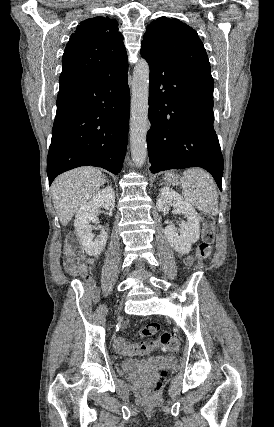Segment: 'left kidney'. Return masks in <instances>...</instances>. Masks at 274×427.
Here are the masks:
<instances>
[{"label":"left kidney","instance_id":"obj_1","mask_svg":"<svg viewBox=\"0 0 274 427\" xmlns=\"http://www.w3.org/2000/svg\"><path fill=\"white\" fill-rule=\"evenodd\" d=\"M170 206L176 208V214H182L187 221L182 219L181 229H176L172 221L166 225L165 235L173 249L178 253H189L192 243L198 241L200 235V219L196 210L191 204L184 202L182 196L171 190V188H161L159 198L156 202V208L159 212H168Z\"/></svg>","mask_w":274,"mask_h":427}]
</instances>
